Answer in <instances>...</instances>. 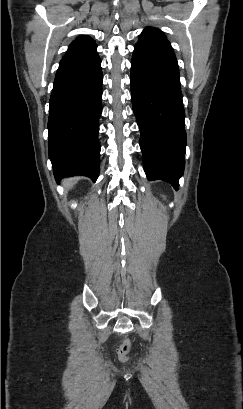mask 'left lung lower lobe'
Segmentation results:
<instances>
[{
  "label": "left lung lower lobe",
  "mask_w": 243,
  "mask_h": 409,
  "mask_svg": "<svg viewBox=\"0 0 243 409\" xmlns=\"http://www.w3.org/2000/svg\"><path fill=\"white\" fill-rule=\"evenodd\" d=\"M130 82L146 176L177 190L185 165V112L178 63L167 39L135 45Z\"/></svg>",
  "instance_id": "1"
}]
</instances>
